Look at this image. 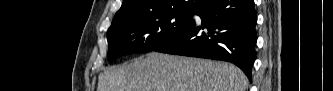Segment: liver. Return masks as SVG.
I'll return each instance as SVG.
<instances>
[{"mask_svg": "<svg viewBox=\"0 0 333 91\" xmlns=\"http://www.w3.org/2000/svg\"><path fill=\"white\" fill-rule=\"evenodd\" d=\"M248 79L226 62L156 52L99 74L97 91H245Z\"/></svg>", "mask_w": 333, "mask_h": 91, "instance_id": "liver-1", "label": "liver"}]
</instances>
